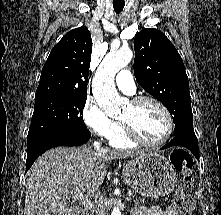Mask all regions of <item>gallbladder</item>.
<instances>
[{"mask_svg":"<svg viewBox=\"0 0 221 215\" xmlns=\"http://www.w3.org/2000/svg\"><path fill=\"white\" fill-rule=\"evenodd\" d=\"M70 211L72 213L71 215H81V210L75 206L71 207Z\"/></svg>","mask_w":221,"mask_h":215,"instance_id":"gallbladder-1","label":"gallbladder"}]
</instances>
